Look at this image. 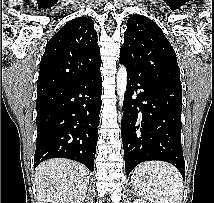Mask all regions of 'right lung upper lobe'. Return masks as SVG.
<instances>
[{
	"instance_id": "1",
	"label": "right lung upper lobe",
	"mask_w": 214,
	"mask_h": 203,
	"mask_svg": "<svg viewBox=\"0 0 214 203\" xmlns=\"http://www.w3.org/2000/svg\"><path fill=\"white\" fill-rule=\"evenodd\" d=\"M89 17L75 18L46 44L40 61L37 95L88 76L100 69L98 36Z\"/></svg>"
}]
</instances>
